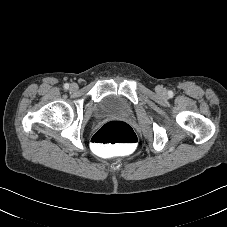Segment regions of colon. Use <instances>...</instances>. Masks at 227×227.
Wrapping results in <instances>:
<instances>
[{
	"mask_svg": "<svg viewBox=\"0 0 227 227\" xmlns=\"http://www.w3.org/2000/svg\"><path fill=\"white\" fill-rule=\"evenodd\" d=\"M92 145L98 153H106L109 146L119 151H126L135 147L136 136L128 124L108 122L94 134Z\"/></svg>",
	"mask_w": 227,
	"mask_h": 227,
	"instance_id": "5ec220e1",
	"label": "colon"
}]
</instances>
